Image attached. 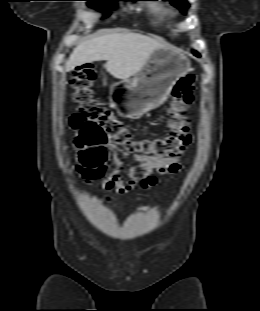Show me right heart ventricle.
Listing matches in <instances>:
<instances>
[{
  "mask_svg": "<svg viewBox=\"0 0 260 311\" xmlns=\"http://www.w3.org/2000/svg\"><path fill=\"white\" fill-rule=\"evenodd\" d=\"M153 11L160 15V17H165V12L160 7L153 8Z\"/></svg>",
  "mask_w": 260,
  "mask_h": 311,
  "instance_id": "1",
  "label": "right heart ventricle"
}]
</instances>
